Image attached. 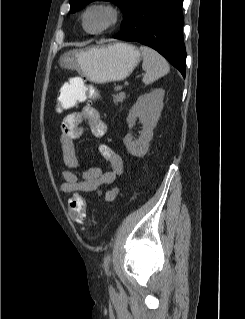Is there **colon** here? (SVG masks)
Segmentation results:
<instances>
[{
    "label": "colon",
    "mask_w": 245,
    "mask_h": 319,
    "mask_svg": "<svg viewBox=\"0 0 245 319\" xmlns=\"http://www.w3.org/2000/svg\"><path fill=\"white\" fill-rule=\"evenodd\" d=\"M58 99L63 100V102L58 101V106L60 111L67 110L71 107L77 106L78 104L85 101L87 98H93L96 96L95 88L84 82L78 89V92L74 94L72 98L67 97V92L59 90ZM68 209L72 219L77 223H82L85 219L86 204L82 197L73 196L69 199Z\"/></svg>",
    "instance_id": "1"
}]
</instances>
